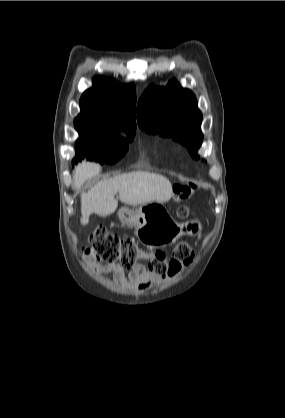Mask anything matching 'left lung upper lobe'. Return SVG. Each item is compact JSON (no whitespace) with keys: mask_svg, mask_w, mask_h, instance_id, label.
<instances>
[{"mask_svg":"<svg viewBox=\"0 0 285 418\" xmlns=\"http://www.w3.org/2000/svg\"><path fill=\"white\" fill-rule=\"evenodd\" d=\"M139 126L148 133L172 137L185 145L191 156L198 159L197 150L203 141L200 130L202 113L194 94L182 88L176 80L166 87L151 85L137 106Z\"/></svg>","mask_w":285,"mask_h":418,"instance_id":"1","label":"left lung upper lobe"}]
</instances>
